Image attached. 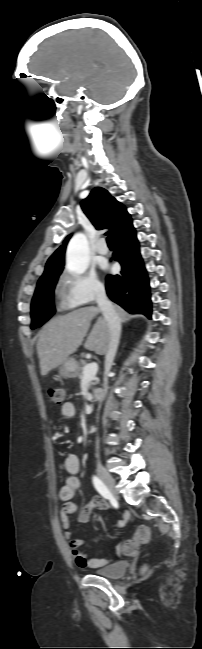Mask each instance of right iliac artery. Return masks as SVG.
<instances>
[{"label":"right iliac artery","instance_id":"obj_1","mask_svg":"<svg viewBox=\"0 0 202 649\" xmlns=\"http://www.w3.org/2000/svg\"><path fill=\"white\" fill-rule=\"evenodd\" d=\"M93 484L96 490L106 499L110 497V492L105 484L97 477L93 476Z\"/></svg>","mask_w":202,"mask_h":649}]
</instances>
